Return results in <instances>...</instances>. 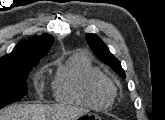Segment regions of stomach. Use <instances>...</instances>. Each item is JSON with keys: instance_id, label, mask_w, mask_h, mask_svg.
I'll return each instance as SVG.
<instances>
[{"instance_id": "stomach-1", "label": "stomach", "mask_w": 165, "mask_h": 120, "mask_svg": "<svg viewBox=\"0 0 165 120\" xmlns=\"http://www.w3.org/2000/svg\"><path fill=\"white\" fill-rule=\"evenodd\" d=\"M89 117H94L95 119H100V117H98L96 114L94 113H89V112H84L82 114H80L77 119H87Z\"/></svg>"}]
</instances>
